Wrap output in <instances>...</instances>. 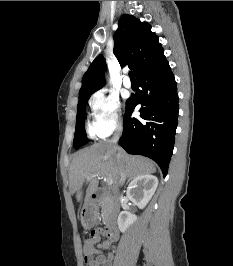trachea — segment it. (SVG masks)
<instances>
[{"mask_svg":"<svg viewBox=\"0 0 233 266\" xmlns=\"http://www.w3.org/2000/svg\"><path fill=\"white\" fill-rule=\"evenodd\" d=\"M129 77H130L131 79H135V74H134L133 71H130V72H129Z\"/></svg>","mask_w":233,"mask_h":266,"instance_id":"1","label":"trachea"}]
</instances>
